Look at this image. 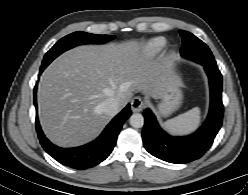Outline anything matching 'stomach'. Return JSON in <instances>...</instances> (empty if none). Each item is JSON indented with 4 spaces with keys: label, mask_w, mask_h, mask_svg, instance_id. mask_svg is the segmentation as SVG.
Segmentation results:
<instances>
[{
    "label": "stomach",
    "mask_w": 248,
    "mask_h": 195,
    "mask_svg": "<svg viewBox=\"0 0 248 195\" xmlns=\"http://www.w3.org/2000/svg\"><path fill=\"white\" fill-rule=\"evenodd\" d=\"M182 83L177 76H173L164 88L157 106L158 114L167 117L175 112L182 103Z\"/></svg>",
    "instance_id": "stomach-1"
}]
</instances>
